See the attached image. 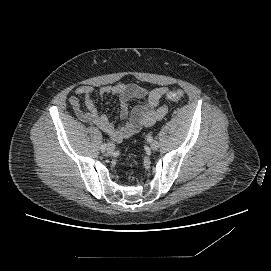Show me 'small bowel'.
Masks as SVG:
<instances>
[{"label": "small bowel", "instance_id": "1", "mask_svg": "<svg viewBox=\"0 0 271 271\" xmlns=\"http://www.w3.org/2000/svg\"><path fill=\"white\" fill-rule=\"evenodd\" d=\"M168 87L147 89L137 84L105 85L100 88L101 96L114 95L119 100V118L123 123L114 125L107 115L100 114L92 98L94 89L92 86H80L76 89L77 96L69 98V104L74 109L76 116L83 122L93 124L105 132L115 141H122L139 132L143 127H150L162 120L168 106L160 104L161 99L168 93ZM82 97L86 110L81 107L79 97ZM143 100L133 109H129L131 100Z\"/></svg>", "mask_w": 271, "mask_h": 271}]
</instances>
